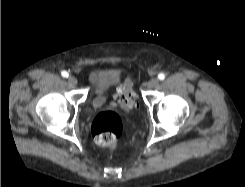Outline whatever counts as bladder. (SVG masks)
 <instances>
[{
    "mask_svg": "<svg viewBox=\"0 0 245 187\" xmlns=\"http://www.w3.org/2000/svg\"><path fill=\"white\" fill-rule=\"evenodd\" d=\"M120 81V75L116 73H110L108 74L104 80L100 82L101 86H104L106 88H110L114 85H116Z\"/></svg>",
    "mask_w": 245,
    "mask_h": 187,
    "instance_id": "1",
    "label": "bladder"
}]
</instances>
